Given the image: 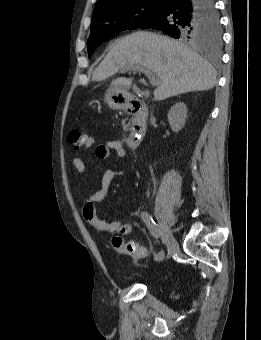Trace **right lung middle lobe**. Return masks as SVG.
<instances>
[{
  "instance_id": "dd1d6c3e",
  "label": "right lung middle lobe",
  "mask_w": 261,
  "mask_h": 340,
  "mask_svg": "<svg viewBox=\"0 0 261 340\" xmlns=\"http://www.w3.org/2000/svg\"><path fill=\"white\" fill-rule=\"evenodd\" d=\"M163 0H146L116 8L92 21L90 36L87 40L88 55L91 57L96 47L115 37L121 30L143 27L159 11ZM178 38L188 41L211 40L219 42L221 27L217 12L212 15L195 13L180 28Z\"/></svg>"
}]
</instances>
